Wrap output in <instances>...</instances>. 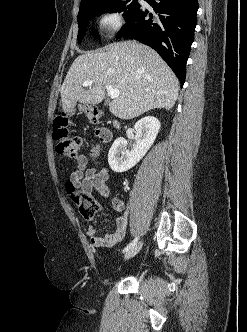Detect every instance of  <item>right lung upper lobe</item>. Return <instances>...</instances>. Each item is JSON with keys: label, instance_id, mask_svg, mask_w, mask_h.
Returning a JSON list of instances; mask_svg holds the SVG:
<instances>
[{"label": "right lung upper lobe", "instance_id": "cb5924a9", "mask_svg": "<svg viewBox=\"0 0 247 332\" xmlns=\"http://www.w3.org/2000/svg\"><path fill=\"white\" fill-rule=\"evenodd\" d=\"M100 1H104V0H81L80 9H84V8L91 6L93 4H96Z\"/></svg>", "mask_w": 247, "mask_h": 332}]
</instances>
